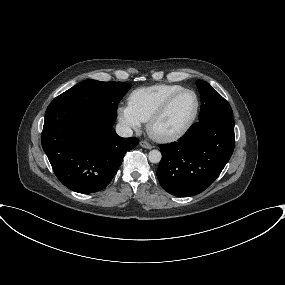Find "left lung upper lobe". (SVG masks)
Instances as JSON below:
<instances>
[{
    "instance_id": "1",
    "label": "left lung upper lobe",
    "mask_w": 285,
    "mask_h": 285,
    "mask_svg": "<svg viewBox=\"0 0 285 285\" xmlns=\"http://www.w3.org/2000/svg\"><path fill=\"white\" fill-rule=\"evenodd\" d=\"M196 84L201 94L199 120L213 115L233 116L229 103L214 88L204 80H198Z\"/></svg>"
}]
</instances>
